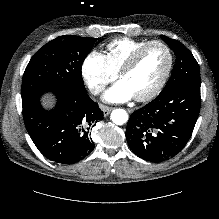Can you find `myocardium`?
Instances as JSON below:
<instances>
[{"label": "myocardium", "mask_w": 219, "mask_h": 219, "mask_svg": "<svg viewBox=\"0 0 219 219\" xmlns=\"http://www.w3.org/2000/svg\"><path fill=\"white\" fill-rule=\"evenodd\" d=\"M153 45H160V46H162L166 50V52L168 54V64H167L166 70H165L163 76L161 77V79L158 81V83L149 92H147V93H145L143 95H139V96H135L134 97L135 100L140 101V102L151 100L152 98L157 96L162 91L164 86L166 85V83H167V81H168V79L170 77V74L172 72V68H173V64H174V56H173V52H172L171 48L165 42H163L161 40L148 41L145 45H143L138 50H136L125 61V63L122 65V67L118 71V77L122 78V76L125 73L130 71L135 66V64L138 62V60L142 56V54L150 46H153Z\"/></svg>", "instance_id": "f54148a6"}]
</instances>
